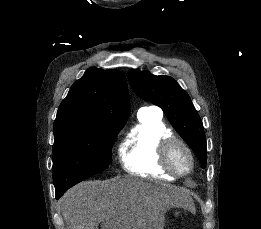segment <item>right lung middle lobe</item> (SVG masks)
Wrapping results in <instances>:
<instances>
[{"instance_id":"right-lung-middle-lobe-1","label":"right lung middle lobe","mask_w":261,"mask_h":229,"mask_svg":"<svg viewBox=\"0 0 261 229\" xmlns=\"http://www.w3.org/2000/svg\"><path fill=\"white\" fill-rule=\"evenodd\" d=\"M123 126L96 127L53 146L52 172L57 199L70 187L108 168L112 146Z\"/></svg>"}]
</instances>
